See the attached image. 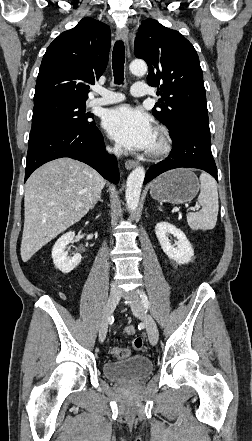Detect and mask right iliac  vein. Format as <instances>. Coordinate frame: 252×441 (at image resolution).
Segmentation results:
<instances>
[{
    "label": "right iliac vein",
    "instance_id": "right-iliac-vein-1",
    "mask_svg": "<svg viewBox=\"0 0 252 441\" xmlns=\"http://www.w3.org/2000/svg\"><path fill=\"white\" fill-rule=\"evenodd\" d=\"M121 292L118 290H111L109 294V298L107 304L104 309V314L101 320L100 329H99V338L100 341H103L106 337L109 318L114 312L119 300L121 299Z\"/></svg>",
    "mask_w": 252,
    "mask_h": 441
}]
</instances>
